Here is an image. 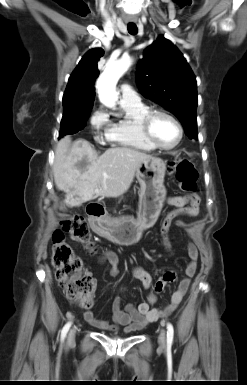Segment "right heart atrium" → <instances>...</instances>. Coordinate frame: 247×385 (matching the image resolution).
<instances>
[{"mask_svg": "<svg viewBox=\"0 0 247 385\" xmlns=\"http://www.w3.org/2000/svg\"><path fill=\"white\" fill-rule=\"evenodd\" d=\"M90 124L94 129L96 137L100 138L101 131H108L110 125V120L106 111L103 108L96 109L90 117Z\"/></svg>", "mask_w": 247, "mask_h": 385, "instance_id": "1", "label": "right heart atrium"}]
</instances>
